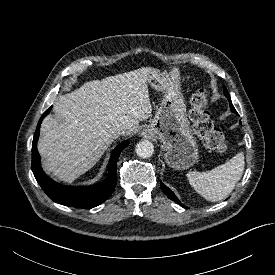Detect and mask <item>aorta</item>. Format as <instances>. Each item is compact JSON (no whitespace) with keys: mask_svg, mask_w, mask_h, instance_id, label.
I'll return each instance as SVG.
<instances>
[{"mask_svg":"<svg viewBox=\"0 0 275 275\" xmlns=\"http://www.w3.org/2000/svg\"><path fill=\"white\" fill-rule=\"evenodd\" d=\"M136 154L141 158H149L154 153V145L149 140H143L137 143Z\"/></svg>","mask_w":275,"mask_h":275,"instance_id":"aorta-1","label":"aorta"}]
</instances>
